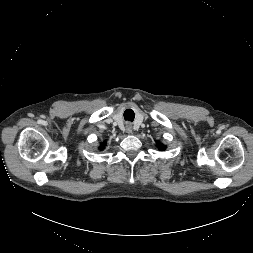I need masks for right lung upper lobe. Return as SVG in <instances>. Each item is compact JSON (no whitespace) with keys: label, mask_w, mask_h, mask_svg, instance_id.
Returning <instances> with one entry per match:
<instances>
[{"label":"right lung upper lobe","mask_w":253,"mask_h":253,"mask_svg":"<svg viewBox=\"0 0 253 253\" xmlns=\"http://www.w3.org/2000/svg\"><path fill=\"white\" fill-rule=\"evenodd\" d=\"M104 146H105V143L102 144L101 148H104Z\"/></svg>","instance_id":"obj_1"}]
</instances>
